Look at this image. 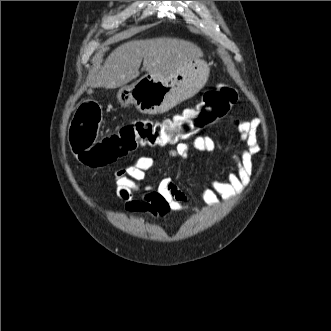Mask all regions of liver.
<instances>
[{"label":"liver","instance_id":"1","mask_svg":"<svg viewBox=\"0 0 331 331\" xmlns=\"http://www.w3.org/2000/svg\"><path fill=\"white\" fill-rule=\"evenodd\" d=\"M202 54L196 44L177 38L129 41L112 51L92 78V86L107 89L125 86L139 76L142 60L143 68L149 74L169 76Z\"/></svg>","mask_w":331,"mask_h":331}]
</instances>
